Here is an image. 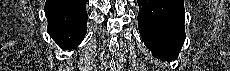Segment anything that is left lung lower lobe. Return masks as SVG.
<instances>
[{
  "label": "left lung lower lobe",
  "instance_id": "1",
  "mask_svg": "<svg viewBox=\"0 0 230 71\" xmlns=\"http://www.w3.org/2000/svg\"><path fill=\"white\" fill-rule=\"evenodd\" d=\"M138 29L153 56L177 58L186 38L183 0H138Z\"/></svg>",
  "mask_w": 230,
  "mask_h": 71
}]
</instances>
